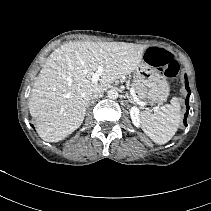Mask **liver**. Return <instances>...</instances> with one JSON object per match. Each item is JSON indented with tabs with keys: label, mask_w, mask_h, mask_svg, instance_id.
I'll return each instance as SVG.
<instances>
[{
	"label": "liver",
	"mask_w": 211,
	"mask_h": 211,
	"mask_svg": "<svg viewBox=\"0 0 211 211\" xmlns=\"http://www.w3.org/2000/svg\"><path fill=\"white\" fill-rule=\"evenodd\" d=\"M148 45L125 42H69L53 51L31 91L30 115L38 135L59 142L83 122L91 95L135 71ZM104 71L99 82L92 75Z\"/></svg>",
	"instance_id": "liver-1"
}]
</instances>
